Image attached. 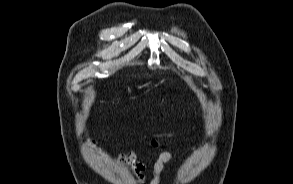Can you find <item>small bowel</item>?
<instances>
[{
    "label": "small bowel",
    "mask_w": 293,
    "mask_h": 184,
    "mask_svg": "<svg viewBox=\"0 0 293 184\" xmlns=\"http://www.w3.org/2000/svg\"><path fill=\"white\" fill-rule=\"evenodd\" d=\"M89 143L98 152H103L95 140H89ZM150 144L157 151L155 161L151 166H148L137 159L135 153L132 151L121 152L119 154L120 167H123L126 164L130 165L138 184H159L165 165L175 160L172 153L162 149L158 141L152 140ZM149 172L151 173L150 180H148Z\"/></svg>",
    "instance_id": "c3829d8e"
}]
</instances>
